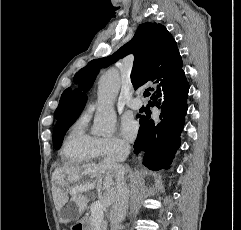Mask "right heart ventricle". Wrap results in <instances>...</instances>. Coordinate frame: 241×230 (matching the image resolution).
I'll list each match as a JSON object with an SVG mask.
<instances>
[{
    "instance_id": "right-heart-ventricle-1",
    "label": "right heart ventricle",
    "mask_w": 241,
    "mask_h": 230,
    "mask_svg": "<svg viewBox=\"0 0 241 230\" xmlns=\"http://www.w3.org/2000/svg\"><path fill=\"white\" fill-rule=\"evenodd\" d=\"M89 117L90 113L84 112L68 130L61 150L66 163L83 164L100 157L99 138L87 130Z\"/></svg>"
}]
</instances>
